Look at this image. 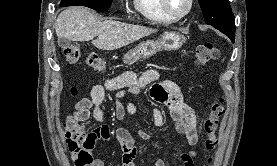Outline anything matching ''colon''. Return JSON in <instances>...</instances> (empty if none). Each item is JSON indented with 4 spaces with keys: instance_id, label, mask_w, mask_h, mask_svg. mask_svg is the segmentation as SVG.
<instances>
[{
    "instance_id": "1",
    "label": "colon",
    "mask_w": 277,
    "mask_h": 166,
    "mask_svg": "<svg viewBox=\"0 0 277 166\" xmlns=\"http://www.w3.org/2000/svg\"><path fill=\"white\" fill-rule=\"evenodd\" d=\"M220 49L211 44H203L198 46L194 52L195 62L198 65H204L211 61L217 60L220 57ZM64 56L69 64H75L81 56L80 48L77 44H70L64 48ZM86 63L88 66L96 70H104L106 64L102 58L96 53L90 52L87 55ZM75 94V90L72 91ZM225 113V104L223 98L217 99L211 106L209 116L204 121V131L206 138L204 146L207 151H214L218 145L216 132L218 130L219 121ZM66 142L73 156L76 166H88L91 163V158L82 152L81 145L85 138L83 126L79 123H66L64 125ZM212 157L208 158V164H212Z\"/></svg>"
}]
</instances>
